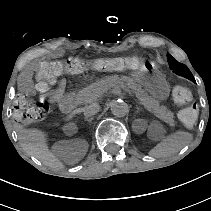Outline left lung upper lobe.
<instances>
[{"label": "left lung upper lobe", "instance_id": "1", "mask_svg": "<svg viewBox=\"0 0 211 211\" xmlns=\"http://www.w3.org/2000/svg\"><path fill=\"white\" fill-rule=\"evenodd\" d=\"M167 59L170 69H172L177 75H180L182 77L191 80L192 82H195V79L191 71L188 69L186 65L176 61L170 54H167Z\"/></svg>", "mask_w": 211, "mask_h": 211}]
</instances>
